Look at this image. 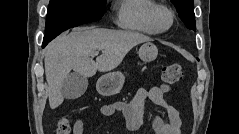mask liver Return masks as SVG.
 Returning a JSON list of instances; mask_svg holds the SVG:
<instances>
[{"mask_svg": "<svg viewBox=\"0 0 239 134\" xmlns=\"http://www.w3.org/2000/svg\"><path fill=\"white\" fill-rule=\"evenodd\" d=\"M151 39L138 32L85 27L51 42L45 53V75L51 109L64 101L62 84L71 70L92 77L120 65L126 54L136 45ZM101 50L94 61L90 56Z\"/></svg>", "mask_w": 239, "mask_h": 134, "instance_id": "liver-1", "label": "liver"}]
</instances>
